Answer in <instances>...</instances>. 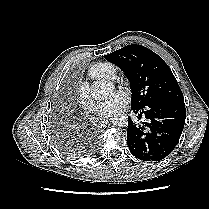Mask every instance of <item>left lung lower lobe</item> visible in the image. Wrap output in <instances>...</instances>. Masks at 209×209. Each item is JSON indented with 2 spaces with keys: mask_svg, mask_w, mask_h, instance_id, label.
Returning a JSON list of instances; mask_svg holds the SVG:
<instances>
[{
  "mask_svg": "<svg viewBox=\"0 0 209 209\" xmlns=\"http://www.w3.org/2000/svg\"><path fill=\"white\" fill-rule=\"evenodd\" d=\"M132 108L138 119L145 116L147 121L139 124L129 117L127 144L130 152L142 161L164 159L181 136L186 118L184 100Z\"/></svg>",
  "mask_w": 209,
  "mask_h": 209,
  "instance_id": "left-lung-lower-lobe-1",
  "label": "left lung lower lobe"
}]
</instances>
